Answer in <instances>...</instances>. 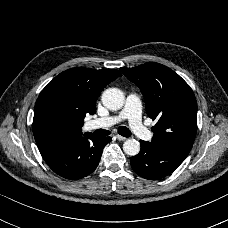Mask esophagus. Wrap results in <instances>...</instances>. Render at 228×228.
I'll use <instances>...</instances> for the list:
<instances>
[{
  "label": "esophagus",
  "instance_id": "obj_1",
  "mask_svg": "<svg viewBox=\"0 0 228 228\" xmlns=\"http://www.w3.org/2000/svg\"><path fill=\"white\" fill-rule=\"evenodd\" d=\"M116 137H117V139H118L119 141H124V140L127 139L126 137H123V136H121V135H116Z\"/></svg>",
  "mask_w": 228,
  "mask_h": 228
}]
</instances>
